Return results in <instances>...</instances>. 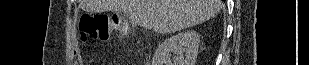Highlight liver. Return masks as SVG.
Wrapping results in <instances>:
<instances>
[{
	"instance_id": "6515ba94",
	"label": "liver",
	"mask_w": 309,
	"mask_h": 65,
	"mask_svg": "<svg viewBox=\"0 0 309 65\" xmlns=\"http://www.w3.org/2000/svg\"><path fill=\"white\" fill-rule=\"evenodd\" d=\"M80 7L90 13L120 11L133 25L160 34L172 33L215 17L221 0H82Z\"/></svg>"
}]
</instances>
